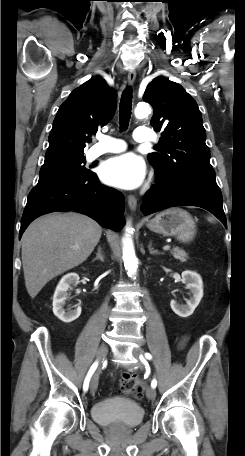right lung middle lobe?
<instances>
[{"label":"right lung middle lobe","mask_w":245,"mask_h":456,"mask_svg":"<svg viewBox=\"0 0 245 456\" xmlns=\"http://www.w3.org/2000/svg\"><path fill=\"white\" fill-rule=\"evenodd\" d=\"M84 162L85 158L82 157L54 166L43 167L40 170L39 181L37 185L87 178L93 175V172L85 167Z\"/></svg>","instance_id":"right-lung-middle-lobe-1"}]
</instances>
